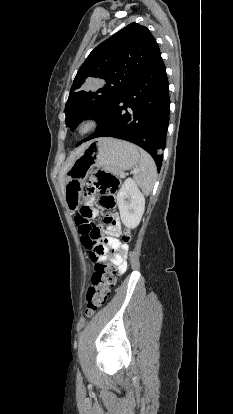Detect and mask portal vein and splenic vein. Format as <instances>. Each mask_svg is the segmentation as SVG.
Listing matches in <instances>:
<instances>
[{"instance_id": "obj_1", "label": "portal vein and splenic vein", "mask_w": 233, "mask_h": 414, "mask_svg": "<svg viewBox=\"0 0 233 414\" xmlns=\"http://www.w3.org/2000/svg\"><path fill=\"white\" fill-rule=\"evenodd\" d=\"M133 172H134V173H137V172H138V170H137V169H134V170H133ZM125 175H126V174H123V175H122V177H125Z\"/></svg>"}]
</instances>
